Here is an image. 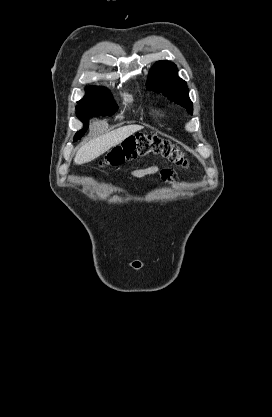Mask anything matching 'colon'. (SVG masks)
Returning a JSON list of instances; mask_svg holds the SVG:
<instances>
[{
	"label": "colon",
	"mask_w": 272,
	"mask_h": 417,
	"mask_svg": "<svg viewBox=\"0 0 272 417\" xmlns=\"http://www.w3.org/2000/svg\"><path fill=\"white\" fill-rule=\"evenodd\" d=\"M148 155H159L177 166L187 168V156L170 141L157 136L135 135L126 139L122 145L112 149L106 156L104 164L119 166L126 161Z\"/></svg>",
	"instance_id": "obj_1"
}]
</instances>
